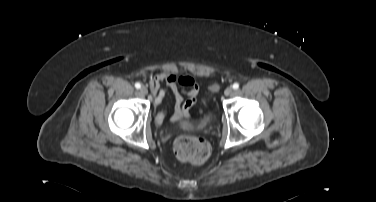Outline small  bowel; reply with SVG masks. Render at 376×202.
<instances>
[{
	"label": "small bowel",
	"instance_id": "small-bowel-1",
	"mask_svg": "<svg viewBox=\"0 0 376 202\" xmlns=\"http://www.w3.org/2000/svg\"><path fill=\"white\" fill-rule=\"evenodd\" d=\"M165 85V87H163ZM149 86L154 96V105L158 107L170 90L174 96V112L172 120L176 121L189 115L190 109L196 103L199 93V83L189 75L177 76L173 72H162L149 80ZM183 95L187 96L184 99ZM166 110H159L156 116L157 123H161Z\"/></svg>",
	"mask_w": 376,
	"mask_h": 202
}]
</instances>
